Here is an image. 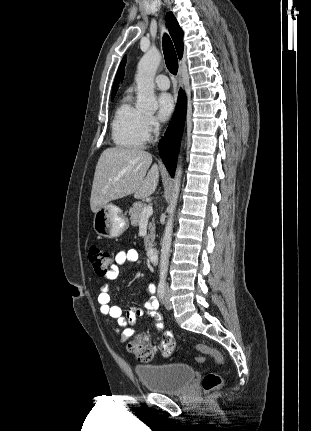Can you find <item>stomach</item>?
<instances>
[{
	"label": "stomach",
	"mask_w": 311,
	"mask_h": 431,
	"mask_svg": "<svg viewBox=\"0 0 311 431\" xmlns=\"http://www.w3.org/2000/svg\"><path fill=\"white\" fill-rule=\"evenodd\" d=\"M129 227V219L124 216L121 208L115 204H107L98 212H94L93 229L102 237H119Z\"/></svg>",
	"instance_id": "0dacf381"
}]
</instances>
